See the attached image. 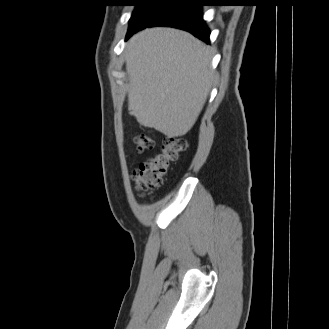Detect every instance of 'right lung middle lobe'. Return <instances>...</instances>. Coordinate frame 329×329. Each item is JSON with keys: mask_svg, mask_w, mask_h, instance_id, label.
<instances>
[{"mask_svg": "<svg viewBox=\"0 0 329 329\" xmlns=\"http://www.w3.org/2000/svg\"><path fill=\"white\" fill-rule=\"evenodd\" d=\"M136 8L129 21V34L131 31L148 25L152 22L165 8L179 0H134Z\"/></svg>", "mask_w": 329, "mask_h": 329, "instance_id": "1", "label": "right lung middle lobe"}]
</instances>
